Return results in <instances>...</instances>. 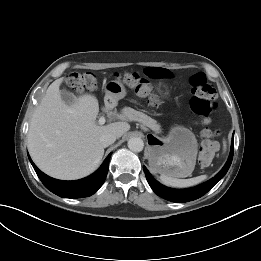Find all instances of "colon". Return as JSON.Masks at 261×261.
<instances>
[{
  "instance_id": "colon-1",
  "label": "colon",
  "mask_w": 261,
  "mask_h": 261,
  "mask_svg": "<svg viewBox=\"0 0 261 261\" xmlns=\"http://www.w3.org/2000/svg\"><path fill=\"white\" fill-rule=\"evenodd\" d=\"M120 79L129 87L136 88L139 92L148 95V83L134 73H126L120 76ZM192 97L190 107L195 116L204 126L202 130L203 142L199 151V160L201 163H209L218 150V144L215 137L217 130L208 127L210 116L216 110V90L208 81L206 75L202 72L195 73L189 80ZM68 88L73 92H80L93 89L96 86V77L91 73L71 74L67 81ZM150 103L156 105L158 99L150 96Z\"/></svg>"
}]
</instances>
